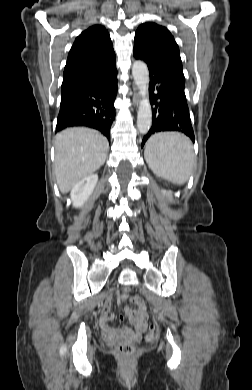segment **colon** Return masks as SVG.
Instances as JSON below:
<instances>
[{
  "instance_id": "5ec220e1",
  "label": "colon",
  "mask_w": 252,
  "mask_h": 390,
  "mask_svg": "<svg viewBox=\"0 0 252 390\" xmlns=\"http://www.w3.org/2000/svg\"><path fill=\"white\" fill-rule=\"evenodd\" d=\"M128 293H129L128 288H125L124 294L128 295ZM136 351H137V345L133 342L121 343L116 348V352L118 356L124 361L131 359L136 353Z\"/></svg>"
}]
</instances>
